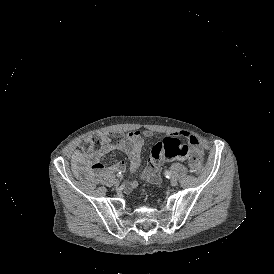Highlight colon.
Masks as SVG:
<instances>
[{"label": "colon", "instance_id": "5ec220e1", "mask_svg": "<svg viewBox=\"0 0 274 274\" xmlns=\"http://www.w3.org/2000/svg\"><path fill=\"white\" fill-rule=\"evenodd\" d=\"M113 135H109L111 139ZM107 139V135L104 132L92 133L86 137L82 143L81 147L87 154L97 155L104 147ZM202 154L199 151H191L188 155V161L191 163V166L194 167L199 165L202 162Z\"/></svg>", "mask_w": 274, "mask_h": 274}]
</instances>
